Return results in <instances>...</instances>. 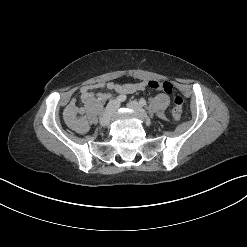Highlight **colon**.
Here are the masks:
<instances>
[{
  "label": "colon",
  "mask_w": 247,
  "mask_h": 247,
  "mask_svg": "<svg viewBox=\"0 0 247 247\" xmlns=\"http://www.w3.org/2000/svg\"><path fill=\"white\" fill-rule=\"evenodd\" d=\"M148 86L153 90L164 92L173 98V120L175 122L179 121L182 113L183 98L180 96L174 86L168 81L159 80L149 81Z\"/></svg>",
  "instance_id": "5ec220e1"
}]
</instances>
